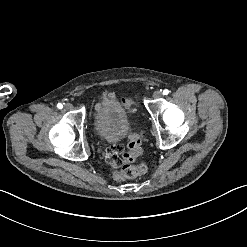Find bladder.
<instances>
[{
    "instance_id": "1",
    "label": "bladder",
    "mask_w": 247,
    "mask_h": 247,
    "mask_svg": "<svg viewBox=\"0 0 247 247\" xmlns=\"http://www.w3.org/2000/svg\"><path fill=\"white\" fill-rule=\"evenodd\" d=\"M130 118L115 98L107 99L98 114L93 131L98 140L118 141L129 132Z\"/></svg>"
}]
</instances>
